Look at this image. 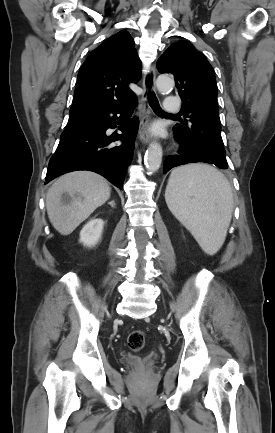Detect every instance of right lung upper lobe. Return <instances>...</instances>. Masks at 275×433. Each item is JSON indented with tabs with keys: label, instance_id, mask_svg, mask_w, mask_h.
<instances>
[{
	"label": "right lung upper lobe",
	"instance_id": "cb5924a9",
	"mask_svg": "<svg viewBox=\"0 0 275 433\" xmlns=\"http://www.w3.org/2000/svg\"><path fill=\"white\" fill-rule=\"evenodd\" d=\"M140 70L129 32L122 30L108 38L89 54L79 70L69 119L136 98L128 84L139 81Z\"/></svg>",
	"mask_w": 275,
	"mask_h": 433
}]
</instances>
